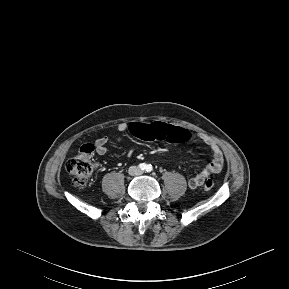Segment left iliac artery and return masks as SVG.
<instances>
[{
    "label": "left iliac artery",
    "instance_id": "left-iliac-artery-1",
    "mask_svg": "<svg viewBox=\"0 0 289 289\" xmlns=\"http://www.w3.org/2000/svg\"><path fill=\"white\" fill-rule=\"evenodd\" d=\"M153 170L152 165H147L146 171L151 172Z\"/></svg>",
    "mask_w": 289,
    "mask_h": 289
}]
</instances>
